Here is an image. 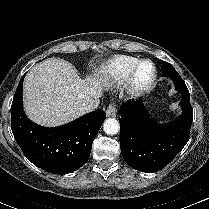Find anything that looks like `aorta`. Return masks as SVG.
Returning <instances> with one entry per match:
<instances>
[{"instance_id": "1", "label": "aorta", "mask_w": 209, "mask_h": 209, "mask_svg": "<svg viewBox=\"0 0 209 209\" xmlns=\"http://www.w3.org/2000/svg\"><path fill=\"white\" fill-rule=\"evenodd\" d=\"M119 122L115 118H108L103 123L104 132L108 135H115L119 132Z\"/></svg>"}]
</instances>
